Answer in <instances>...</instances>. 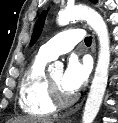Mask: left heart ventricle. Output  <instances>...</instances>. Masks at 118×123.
Returning a JSON list of instances; mask_svg holds the SVG:
<instances>
[{"label": "left heart ventricle", "mask_w": 118, "mask_h": 123, "mask_svg": "<svg viewBox=\"0 0 118 123\" xmlns=\"http://www.w3.org/2000/svg\"><path fill=\"white\" fill-rule=\"evenodd\" d=\"M52 82L55 84V86L58 88L60 93L64 96L70 95L71 93L68 92L62 84L63 81V73L62 72H56L51 77Z\"/></svg>", "instance_id": "left-heart-ventricle-1"}]
</instances>
